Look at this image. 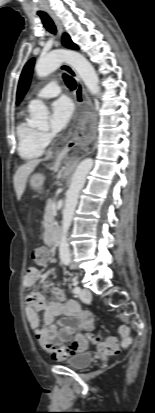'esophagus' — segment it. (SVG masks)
Masks as SVG:
<instances>
[{
  "mask_svg": "<svg viewBox=\"0 0 155 413\" xmlns=\"http://www.w3.org/2000/svg\"><path fill=\"white\" fill-rule=\"evenodd\" d=\"M50 16L52 17V19L54 20L59 32L62 34L64 32L63 27L61 22L59 21V19L52 13L49 12ZM61 69L63 71H65L66 73H68L70 76H72L75 81H76V90H75V101H76V105L77 107L80 108L81 113H85L86 112V108L85 105L88 106H92L91 100L88 96V93L82 83V81L80 80L77 72L69 65V64H62ZM72 146V143H68L65 147V150H69ZM78 162V160H76L74 162V164H76Z\"/></svg>",
  "mask_w": 155,
  "mask_h": 413,
  "instance_id": "obj_1",
  "label": "esophagus"
}]
</instances>
